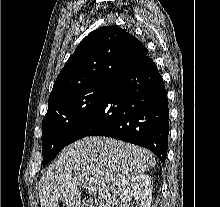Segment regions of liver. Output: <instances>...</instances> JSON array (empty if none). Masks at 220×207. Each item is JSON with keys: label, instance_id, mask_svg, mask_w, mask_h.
<instances>
[{"label": "liver", "instance_id": "1", "mask_svg": "<svg viewBox=\"0 0 220 207\" xmlns=\"http://www.w3.org/2000/svg\"><path fill=\"white\" fill-rule=\"evenodd\" d=\"M156 164L145 148L106 137H85L65 147L42 175L41 207H81L80 189L95 187L94 207H114L125 187Z\"/></svg>", "mask_w": 220, "mask_h": 207}]
</instances>
